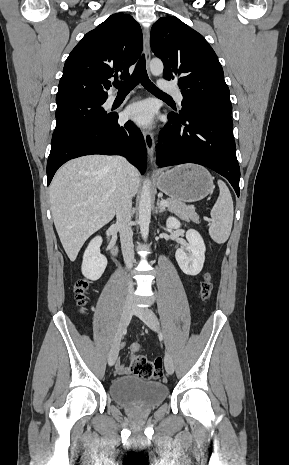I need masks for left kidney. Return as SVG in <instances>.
<instances>
[{
	"label": "left kidney",
	"mask_w": 289,
	"mask_h": 465,
	"mask_svg": "<svg viewBox=\"0 0 289 465\" xmlns=\"http://www.w3.org/2000/svg\"><path fill=\"white\" fill-rule=\"evenodd\" d=\"M166 227L168 230L179 229L181 223L177 218L169 217L166 221ZM186 239L188 244L176 250L175 258L185 274L195 276L203 268L206 247L203 238L196 230H188L186 232Z\"/></svg>",
	"instance_id": "obj_1"
}]
</instances>
